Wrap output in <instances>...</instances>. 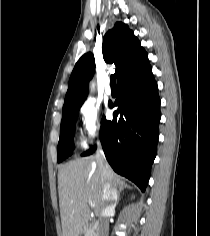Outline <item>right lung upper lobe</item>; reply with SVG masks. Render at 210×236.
<instances>
[{
	"instance_id": "cb5924a9",
	"label": "right lung upper lobe",
	"mask_w": 210,
	"mask_h": 236,
	"mask_svg": "<svg viewBox=\"0 0 210 236\" xmlns=\"http://www.w3.org/2000/svg\"><path fill=\"white\" fill-rule=\"evenodd\" d=\"M103 56L107 63L116 65L117 83L149 63L148 55L128 26L115 23L103 39ZM95 70L92 53L84 54L76 63L69 79L63 112L81 107L88 94V82Z\"/></svg>"
}]
</instances>
